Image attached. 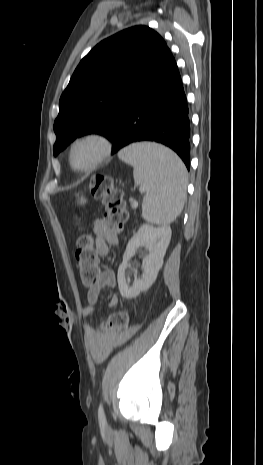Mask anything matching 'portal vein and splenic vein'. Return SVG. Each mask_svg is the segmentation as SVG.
Listing matches in <instances>:
<instances>
[{
  "mask_svg": "<svg viewBox=\"0 0 263 465\" xmlns=\"http://www.w3.org/2000/svg\"><path fill=\"white\" fill-rule=\"evenodd\" d=\"M141 191H142V189H141ZM131 205H132V207L136 208L138 206V203L136 201H132Z\"/></svg>",
  "mask_w": 263,
  "mask_h": 465,
  "instance_id": "portal-vein-and-splenic-vein-1",
  "label": "portal vein and splenic vein"
}]
</instances>
